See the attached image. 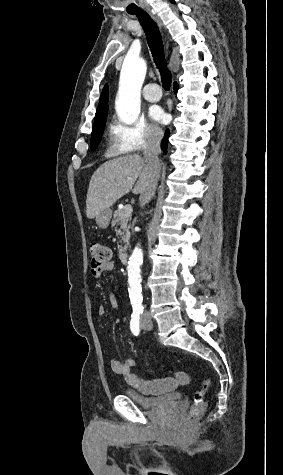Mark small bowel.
<instances>
[{
	"label": "small bowel",
	"instance_id": "small-bowel-1",
	"mask_svg": "<svg viewBox=\"0 0 283 475\" xmlns=\"http://www.w3.org/2000/svg\"><path fill=\"white\" fill-rule=\"evenodd\" d=\"M114 268V263L113 262H107L104 263L100 266H91L90 268V274L93 278H100L104 273L112 271ZM110 301L111 304L114 308L119 307V300L118 297L116 296L115 293H112L110 295ZM97 313L100 317H104L107 314L106 307L101 305L98 307ZM111 369L114 373L121 375L125 381L142 391H147L148 390V385L145 381L140 379L135 373L132 372V369L137 366V360L135 358H127L124 361H119L116 359L111 360L110 362ZM180 378L182 380H187L189 378V373L187 371H182L180 373ZM173 381L176 382L177 384H185L183 381H181L178 376L176 378H173ZM155 384L160 385V384H169L170 383V378L169 377H162L157 376L154 379Z\"/></svg>",
	"mask_w": 283,
	"mask_h": 475
}]
</instances>
